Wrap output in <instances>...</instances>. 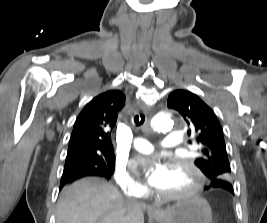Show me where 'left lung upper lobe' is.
<instances>
[{
    "mask_svg": "<svg viewBox=\"0 0 267 223\" xmlns=\"http://www.w3.org/2000/svg\"><path fill=\"white\" fill-rule=\"evenodd\" d=\"M167 106L181 114L189 127L188 134L191 131L195 133L199 145L195 165L212 182H229L231 169L223 131L213 110L198 96L186 90L170 93Z\"/></svg>",
    "mask_w": 267,
    "mask_h": 223,
    "instance_id": "left-lung-upper-lobe-1",
    "label": "left lung upper lobe"
}]
</instances>
